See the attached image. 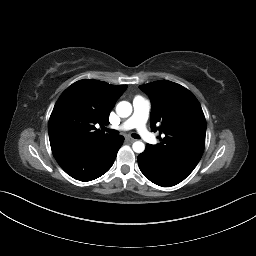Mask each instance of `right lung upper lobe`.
<instances>
[{
	"instance_id": "right-lung-upper-lobe-1",
	"label": "right lung upper lobe",
	"mask_w": 256,
	"mask_h": 256,
	"mask_svg": "<svg viewBox=\"0 0 256 256\" xmlns=\"http://www.w3.org/2000/svg\"><path fill=\"white\" fill-rule=\"evenodd\" d=\"M126 88L90 79L69 86L56 102L48 123L55 159L112 137L95 124L109 122L110 111Z\"/></svg>"
}]
</instances>
